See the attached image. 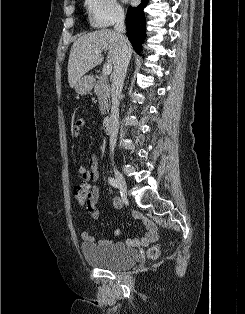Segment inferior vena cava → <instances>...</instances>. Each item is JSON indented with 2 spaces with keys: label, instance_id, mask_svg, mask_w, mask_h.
Returning a JSON list of instances; mask_svg holds the SVG:
<instances>
[{
  "label": "inferior vena cava",
  "instance_id": "602c4592",
  "mask_svg": "<svg viewBox=\"0 0 245 314\" xmlns=\"http://www.w3.org/2000/svg\"><path fill=\"white\" fill-rule=\"evenodd\" d=\"M125 15L124 12H119L115 19L114 30L120 36V50L119 56L114 64V71L112 73V107H111V129H110V155L114 153V148L116 146L118 128H119V99L121 96L124 79L127 73V68L129 61L131 59L132 49L129 45L128 40L124 36L125 25H124Z\"/></svg>",
  "mask_w": 245,
  "mask_h": 314
}]
</instances>
